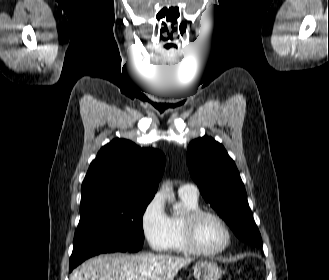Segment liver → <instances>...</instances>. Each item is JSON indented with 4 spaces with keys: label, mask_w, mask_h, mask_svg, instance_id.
<instances>
[{
    "label": "liver",
    "mask_w": 329,
    "mask_h": 280,
    "mask_svg": "<svg viewBox=\"0 0 329 280\" xmlns=\"http://www.w3.org/2000/svg\"><path fill=\"white\" fill-rule=\"evenodd\" d=\"M192 258L170 255H100L75 269L70 280H173Z\"/></svg>",
    "instance_id": "liver-1"
}]
</instances>
